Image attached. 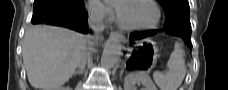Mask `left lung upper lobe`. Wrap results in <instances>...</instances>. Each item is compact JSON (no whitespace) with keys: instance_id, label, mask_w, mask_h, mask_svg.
I'll return each instance as SVG.
<instances>
[{"instance_id":"left-lung-upper-lobe-1","label":"left lung upper lobe","mask_w":228,"mask_h":90,"mask_svg":"<svg viewBox=\"0 0 228 90\" xmlns=\"http://www.w3.org/2000/svg\"><path fill=\"white\" fill-rule=\"evenodd\" d=\"M165 12L164 27L191 29L188 0H158Z\"/></svg>"}]
</instances>
